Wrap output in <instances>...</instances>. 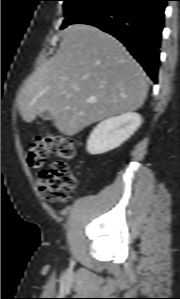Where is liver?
Segmentation results:
<instances>
[{"instance_id": "6515ba94", "label": "liver", "mask_w": 180, "mask_h": 299, "mask_svg": "<svg viewBox=\"0 0 180 299\" xmlns=\"http://www.w3.org/2000/svg\"><path fill=\"white\" fill-rule=\"evenodd\" d=\"M148 84L142 67L113 36L83 24L68 26L57 53L20 91V113L31 123L49 111L66 136L140 108Z\"/></svg>"}]
</instances>
